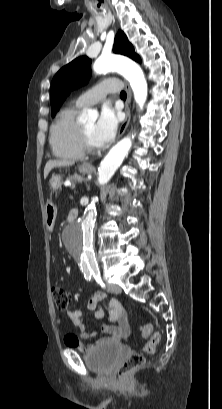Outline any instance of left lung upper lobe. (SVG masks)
<instances>
[{"label": "left lung upper lobe", "mask_w": 222, "mask_h": 409, "mask_svg": "<svg viewBox=\"0 0 222 409\" xmlns=\"http://www.w3.org/2000/svg\"><path fill=\"white\" fill-rule=\"evenodd\" d=\"M113 52L126 55L135 61L141 62L135 53L133 46L129 43L126 35L119 31L115 37ZM91 60L81 56L62 67L54 76L51 83V114L58 111L66 96L76 88L86 84L91 73Z\"/></svg>", "instance_id": "obj_1"}]
</instances>
